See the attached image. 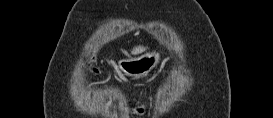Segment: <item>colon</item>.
<instances>
[{
  "label": "colon",
  "instance_id": "colon-1",
  "mask_svg": "<svg viewBox=\"0 0 273 118\" xmlns=\"http://www.w3.org/2000/svg\"><path fill=\"white\" fill-rule=\"evenodd\" d=\"M95 63V59L89 58L88 62L86 63L85 71L87 76L91 78L94 83H97L99 79V70L97 69ZM136 110L141 112L142 107H138Z\"/></svg>",
  "mask_w": 273,
  "mask_h": 118
}]
</instances>
